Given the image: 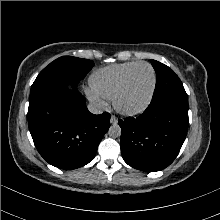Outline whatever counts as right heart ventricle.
Segmentation results:
<instances>
[{
    "label": "right heart ventricle",
    "instance_id": "obj_1",
    "mask_svg": "<svg viewBox=\"0 0 220 220\" xmlns=\"http://www.w3.org/2000/svg\"><path fill=\"white\" fill-rule=\"evenodd\" d=\"M137 63L126 62L97 69L89 78V84L92 90L102 98L113 99L123 78Z\"/></svg>",
    "mask_w": 220,
    "mask_h": 220
}]
</instances>
